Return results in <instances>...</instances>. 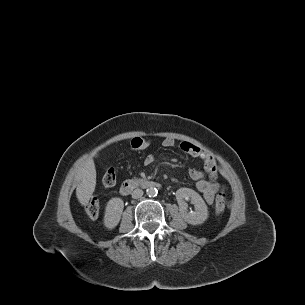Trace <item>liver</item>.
<instances>
[{"instance_id": "liver-1", "label": "liver", "mask_w": 305, "mask_h": 305, "mask_svg": "<svg viewBox=\"0 0 305 305\" xmlns=\"http://www.w3.org/2000/svg\"><path fill=\"white\" fill-rule=\"evenodd\" d=\"M77 179L80 180L76 188V196L81 205H87L96 186V169L92 158L84 161Z\"/></svg>"}]
</instances>
